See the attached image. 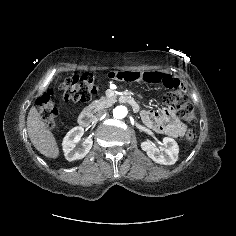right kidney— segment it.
Returning a JSON list of instances; mask_svg holds the SVG:
<instances>
[{
    "label": "right kidney",
    "mask_w": 236,
    "mask_h": 236,
    "mask_svg": "<svg viewBox=\"0 0 236 236\" xmlns=\"http://www.w3.org/2000/svg\"><path fill=\"white\" fill-rule=\"evenodd\" d=\"M84 129L81 126L72 128L64 137L62 146L65 158L68 161H74L84 158L93 145L91 138H86L82 146L77 147V143L81 140Z\"/></svg>",
    "instance_id": "1"
}]
</instances>
